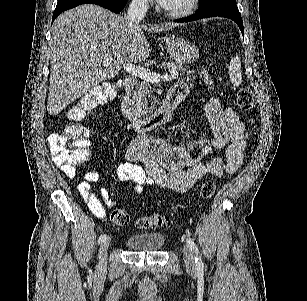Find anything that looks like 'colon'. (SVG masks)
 Segmentation results:
<instances>
[{
  "label": "colon",
  "instance_id": "5ec220e1",
  "mask_svg": "<svg viewBox=\"0 0 307 301\" xmlns=\"http://www.w3.org/2000/svg\"><path fill=\"white\" fill-rule=\"evenodd\" d=\"M202 78L206 82L211 81L206 71L202 72ZM118 89L117 84L103 83L92 88L69 108L67 116L71 120V123L61 132L51 134L48 137L49 150L58 164L67 165L76 170L78 166L91 158V153L87 145V129L78 123V121L85 118L89 111L114 98ZM236 103L239 109L248 111L255 106L256 101L252 91L244 87L238 91ZM214 192L215 184L211 181L205 182L201 186L200 194L203 198H210ZM110 218L118 226L127 225L130 220L128 212L120 208L114 209L111 212ZM169 224V217L160 214L143 216L136 221V227L139 229L162 228Z\"/></svg>",
  "mask_w": 307,
  "mask_h": 301
}]
</instances>
